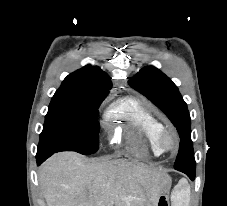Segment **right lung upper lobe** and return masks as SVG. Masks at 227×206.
<instances>
[{
	"label": "right lung upper lobe",
	"instance_id": "right-lung-upper-lobe-1",
	"mask_svg": "<svg viewBox=\"0 0 227 206\" xmlns=\"http://www.w3.org/2000/svg\"><path fill=\"white\" fill-rule=\"evenodd\" d=\"M110 79L98 66L87 65L68 75L56 93L86 97H106L112 86Z\"/></svg>",
	"mask_w": 227,
	"mask_h": 206
}]
</instances>
